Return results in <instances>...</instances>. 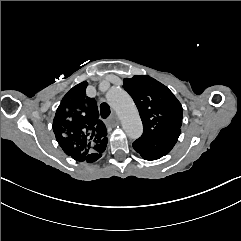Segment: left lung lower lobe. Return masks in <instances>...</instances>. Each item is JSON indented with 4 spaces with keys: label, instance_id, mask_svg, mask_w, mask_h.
I'll use <instances>...</instances> for the list:
<instances>
[{
    "label": "left lung lower lobe",
    "instance_id": "0a47b994",
    "mask_svg": "<svg viewBox=\"0 0 241 241\" xmlns=\"http://www.w3.org/2000/svg\"><path fill=\"white\" fill-rule=\"evenodd\" d=\"M179 135L180 132L165 134L162 136V140L154 146L147 145L136 140L133 142V147L143 159L156 160L171 151L177 142Z\"/></svg>",
    "mask_w": 241,
    "mask_h": 241
}]
</instances>
